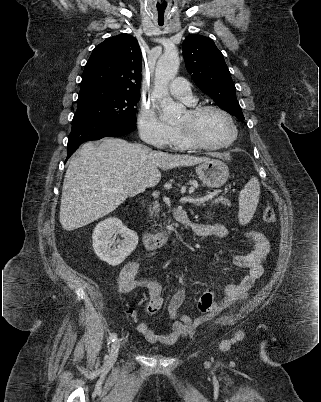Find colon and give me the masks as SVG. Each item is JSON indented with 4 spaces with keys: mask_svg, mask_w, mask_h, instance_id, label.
I'll list each match as a JSON object with an SVG mask.
<instances>
[{
    "mask_svg": "<svg viewBox=\"0 0 321 402\" xmlns=\"http://www.w3.org/2000/svg\"><path fill=\"white\" fill-rule=\"evenodd\" d=\"M262 218L267 223H271V222L274 221L275 212H274V209H273V207L271 205H267V206L264 207ZM210 307H211V301L210 300L205 302V303H203V304H201V305H199V309L202 312L208 311L210 309Z\"/></svg>",
    "mask_w": 321,
    "mask_h": 402,
    "instance_id": "obj_1",
    "label": "colon"
}]
</instances>
